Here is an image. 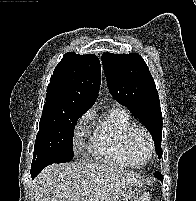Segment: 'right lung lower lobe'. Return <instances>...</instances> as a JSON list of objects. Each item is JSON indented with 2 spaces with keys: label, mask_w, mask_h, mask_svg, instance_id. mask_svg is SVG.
Instances as JSON below:
<instances>
[{
  "label": "right lung lower lobe",
  "mask_w": 196,
  "mask_h": 201,
  "mask_svg": "<svg viewBox=\"0 0 196 201\" xmlns=\"http://www.w3.org/2000/svg\"><path fill=\"white\" fill-rule=\"evenodd\" d=\"M38 171H31L32 179H34L38 175Z\"/></svg>",
  "instance_id": "1"
}]
</instances>
